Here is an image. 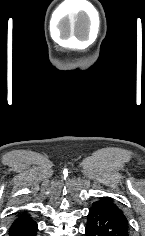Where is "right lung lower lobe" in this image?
<instances>
[{"label":"right lung lower lobe","mask_w":145,"mask_h":236,"mask_svg":"<svg viewBox=\"0 0 145 236\" xmlns=\"http://www.w3.org/2000/svg\"><path fill=\"white\" fill-rule=\"evenodd\" d=\"M37 231V223L27 211H22L18 213L17 218L11 224L9 236H36Z\"/></svg>","instance_id":"98d812e1"}]
</instances>
